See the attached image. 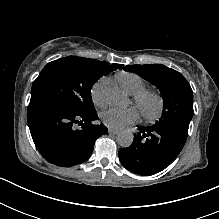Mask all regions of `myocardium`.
I'll return each instance as SVG.
<instances>
[{
  "label": "myocardium",
  "instance_id": "1",
  "mask_svg": "<svg viewBox=\"0 0 219 219\" xmlns=\"http://www.w3.org/2000/svg\"><path fill=\"white\" fill-rule=\"evenodd\" d=\"M149 98H152L156 101L157 108L153 114H147L142 108L141 105L143 102ZM132 102L136 105L141 113L143 120L146 123L154 124L157 123L164 115L165 111V99L162 94L158 91L151 89H143L132 95Z\"/></svg>",
  "mask_w": 219,
  "mask_h": 219
}]
</instances>
